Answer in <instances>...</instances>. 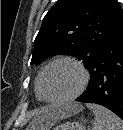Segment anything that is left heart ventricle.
I'll list each match as a JSON object with an SVG mask.
<instances>
[{"label": "left heart ventricle", "mask_w": 123, "mask_h": 130, "mask_svg": "<svg viewBox=\"0 0 123 130\" xmlns=\"http://www.w3.org/2000/svg\"><path fill=\"white\" fill-rule=\"evenodd\" d=\"M82 79L79 69L69 62L52 65L45 73L44 90L51 99H61L72 95Z\"/></svg>", "instance_id": "b2bd125f"}]
</instances>
